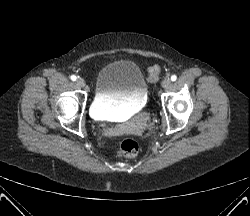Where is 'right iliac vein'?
I'll list each match as a JSON object with an SVG mask.
<instances>
[{
	"label": "right iliac vein",
	"mask_w": 250,
	"mask_h": 216,
	"mask_svg": "<svg viewBox=\"0 0 250 216\" xmlns=\"http://www.w3.org/2000/svg\"><path fill=\"white\" fill-rule=\"evenodd\" d=\"M76 83H77V85H79L80 87H84L85 86V81H84V79H82V78H78L77 80H76Z\"/></svg>",
	"instance_id": "63e3f726"
}]
</instances>
